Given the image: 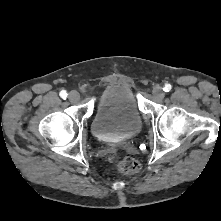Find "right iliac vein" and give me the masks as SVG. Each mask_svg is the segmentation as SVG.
<instances>
[{"mask_svg": "<svg viewBox=\"0 0 221 221\" xmlns=\"http://www.w3.org/2000/svg\"><path fill=\"white\" fill-rule=\"evenodd\" d=\"M70 102L75 103L80 100V94L77 91H71L68 96Z\"/></svg>", "mask_w": 221, "mask_h": 221, "instance_id": "1", "label": "right iliac vein"}]
</instances>
